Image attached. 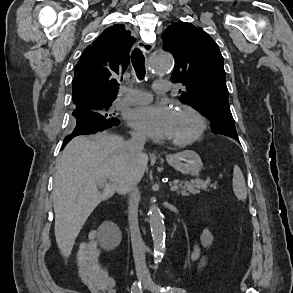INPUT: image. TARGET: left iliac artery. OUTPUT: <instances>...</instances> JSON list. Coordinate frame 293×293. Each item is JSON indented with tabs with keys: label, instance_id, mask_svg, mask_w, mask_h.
<instances>
[{
	"label": "left iliac artery",
	"instance_id": "1",
	"mask_svg": "<svg viewBox=\"0 0 293 293\" xmlns=\"http://www.w3.org/2000/svg\"><path fill=\"white\" fill-rule=\"evenodd\" d=\"M160 292L161 293H186L185 290L181 288H175V287H160Z\"/></svg>",
	"mask_w": 293,
	"mask_h": 293
}]
</instances>
